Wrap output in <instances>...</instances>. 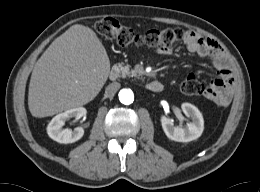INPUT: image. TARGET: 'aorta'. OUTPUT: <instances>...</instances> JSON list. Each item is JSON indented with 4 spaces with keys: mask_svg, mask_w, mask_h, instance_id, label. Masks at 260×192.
I'll return each instance as SVG.
<instances>
[{
    "mask_svg": "<svg viewBox=\"0 0 260 192\" xmlns=\"http://www.w3.org/2000/svg\"><path fill=\"white\" fill-rule=\"evenodd\" d=\"M119 100L122 104L129 105L134 101V94L132 90L124 88L119 92Z\"/></svg>",
    "mask_w": 260,
    "mask_h": 192,
    "instance_id": "1",
    "label": "aorta"
}]
</instances>
